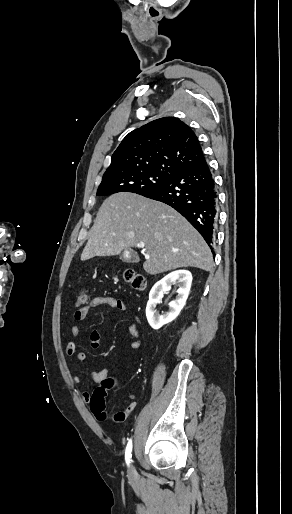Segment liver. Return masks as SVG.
<instances>
[{"label":"liver","instance_id":"obj_1","mask_svg":"<svg viewBox=\"0 0 292 514\" xmlns=\"http://www.w3.org/2000/svg\"><path fill=\"white\" fill-rule=\"evenodd\" d=\"M140 244L146 250L143 268L152 276L187 266L201 270L213 266L209 246L181 214L131 192L112 194L103 202L81 260L118 256Z\"/></svg>","mask_w":292,"mask_h":514}]
</instances>
